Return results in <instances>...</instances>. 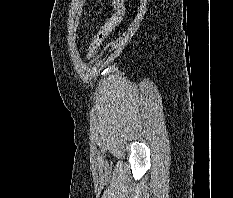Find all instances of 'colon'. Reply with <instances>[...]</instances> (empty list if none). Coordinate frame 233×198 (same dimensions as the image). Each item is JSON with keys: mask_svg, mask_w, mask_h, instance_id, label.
I'll list each match as a JSON object with an SVG mask.
<instances>
[{"mask_svg": "<svg viewBox=\"0 0 233 198\" xmlns=\"http://www.w3.org/2000/svg\"><path fill=\"white\" fill-rule=\"evenodd\" d=\"M112 5L115 9V13L95 35L88 51V58H92L97 53L104 40L123 21L125 17L126 8L123 0H112Z\"/></svg>", "mask_w": 233, "mask_h": 198, "instance_id": "obj_1", "label": "colon"}]
</instances>
